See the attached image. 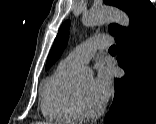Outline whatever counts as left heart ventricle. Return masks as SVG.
<instances>
[{
	"instance_id": "b2bd125f",
	"label": "left heart ventricle",
	"mask_w": 156,
	"mask_h": 124,
	"mask_svg": "<svg viewBox=\"0 0 156 124\" xmlns=\"http://www.w3.org/2000/svg\"><path fill=\"white\" fill-rule=\"evenodd\" d=\"M83 100L89 109H96L101 106V103L95 98L92 91V79L83 78L78 81Z\"/></svg>"
}]
</instances>
